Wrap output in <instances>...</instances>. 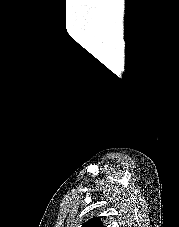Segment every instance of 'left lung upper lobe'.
Here are the masks:
<instances>
[{
  "label": "left lung upper lobe",
  "mask_w": 179,
  "mask_h": 227,
  "mask_svg": "<svg viewBox=\"0 0 179 227\" xmlns=\"http://www.w3.org/2000/svg\"><path fill=\"white\" fill-rule=\"evenodd\" d=\"M82 227H105L99 217H94L85 222Z\"/></svg>",
  "instance_id": "obj_1"
}]
</instances>
